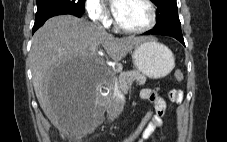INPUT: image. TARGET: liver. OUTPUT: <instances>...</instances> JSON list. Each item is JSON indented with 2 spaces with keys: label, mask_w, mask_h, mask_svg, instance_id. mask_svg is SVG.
<instances>
[{
  "label": "liver",
  "mask_w": 227,
  "mask_h": 142,
  "mask_svg": "<svg viewBox=\"0 0 227 142\" xmlns=\"http://www.w3.org/2000/svg\"><path fill=\"white\" fill-rule=\"evenodd\" d=\"M150 37L116 38L104 29L72 15L50 18L33 38L30 63L33 86L38 102L51 123L61 132L77 135L82 120L88 117L93 105L99 104L97 90L104 77L98 70L96 51L102 47L108 56L119 62L136 46ZM59 61H92L87 88H52L50 73Z\"/></svg>",
  "instance_id": "obj_1"
}]
</instances>
